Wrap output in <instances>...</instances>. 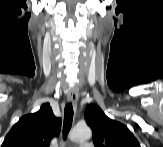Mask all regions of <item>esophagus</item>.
<instances>
[{
	"label": "esophagus",
	"instance_id": "1",
	"mask_svg": "<svg viewBox=\"0 0 163 147\" xmlns=\"http://www.w3.org/2000/svg\"><path fill=\"white\" fill-rule=\"evenodd\" d=\"M68 101L73 104V107L76 108L78 101V93L76 90H69L67 93Z\"/></svg>",
	"mask_w": 163,
	"mask_h": 147
}]
</instances>
